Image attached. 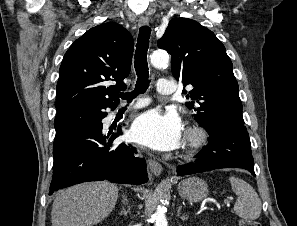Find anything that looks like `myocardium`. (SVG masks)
Returning <instances> with one entry per match:
<instances>
[{"label": "myocardium", "mask_w": 297, "mask_h": 226, "mask_svg": "<svg viewBox=\"0 0 297 226\" xmlns=\"http://www.w3.org/2000/svg\"><path fill=\"white\" fill-rule=\"evenodd\" d=\"M208 140L209 135L204 128L198 125L189 126L185 132L184 157H195L207 145Z\"/></svg>", "instance_id": "1"}]
</instances>
